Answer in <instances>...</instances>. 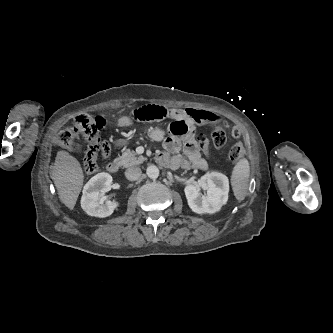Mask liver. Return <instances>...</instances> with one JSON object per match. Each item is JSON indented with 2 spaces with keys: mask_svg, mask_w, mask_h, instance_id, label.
Here are the masks:
<instances>
[{
  "mask_svg": "<svg viewBox=\"0 0 333 333\" xmlns=\"http://www.w3.org/2000/svg\"><path fill=\"white\" fill-rule=\"evenodd\" d=\"M53 180L61 202L72 210L84 181L79 161L66 151H58L54 163Z\"/></svg>",
  "mask_w": 333,
  "mask_h": 333,
  "instance_id": "obj_1",
  "label": "liver"
}]
</instances>
